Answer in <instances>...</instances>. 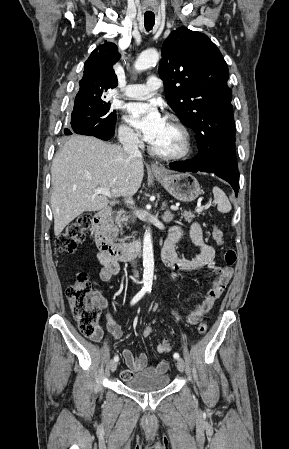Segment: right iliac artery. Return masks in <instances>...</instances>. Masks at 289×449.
I'll list each match as a JSON object with an SVG mask.
<instances>
[{"label":"right iliac artery","mask_w":289,"mask_h":449,"mask_svg":"<svg viewBox=\"0 0 289 449\" xmlns=\"http://www.w3.org/2000/svg\"><path fill=\"white\" fill-rule=\"evenodd\" d=\"M146 289H141L134 297H133V299L131 300V305H134L135 303H137L143 296H144V294L146 293ZM119 360V357L118 356H114V361H118Z\"/></svg>","instance_id":"obj_1"}]
</instances>
